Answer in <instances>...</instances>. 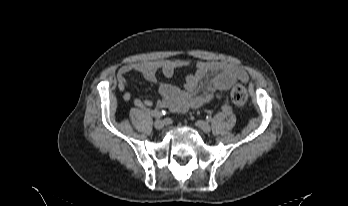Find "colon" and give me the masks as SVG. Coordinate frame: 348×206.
<instances>
[{
	"label": "colon",
	"instance_id": "colon-1",
	"mask_svg": "<svg viewBox=\"0 0 348 206\" xmlns=\"http://www.w3.org/2000/svg\"><path fill=\"white\" fill-rule=\"evenodd\" d=\"M247 97H248L247 91L243 85L236 84L232 87L230 91V98L236 107L238 108L244 107L247 101Z\"/></svg>",
	"mask_w": 348,
	"mask_h": 206
}]
</instances>
